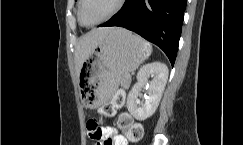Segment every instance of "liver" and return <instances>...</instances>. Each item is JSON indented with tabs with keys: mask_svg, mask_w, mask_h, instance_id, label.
I'll list each match as a JSON object with an SVG mask.
<instances>
[{
	"mask_svg": "<svg viewBox=\"0 0 243 145\" xmlns=\"http://www.w3.org/2000/svg\"><path fill=\"white\" fill-rule=\"evenodd\" d=\"M114 27L92 29L87 34L83 35L75 46V68L79 75L83 63L88 59L103 41L105 36L110 33Z\"/></svg>",
	"mask_w": 243,
	"mask_h": 145,
	"instance_id": "obj_1",
	"label": "liver"
}]
</instances>
